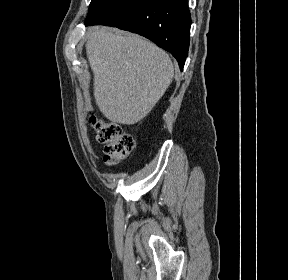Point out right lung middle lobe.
Returning a JSON list of instances; mask_svg holds the SVG:
<instances>
[{"label":"right lung middle lobe","mask_w":288,"mask_h":280,"mask_svg":"<svg viewBox=\"0 0 288 280\" xmlns=\"http://www.w3.org/2000/svg\"><path fill=\"white\" fill-rule=\"evenodd\" d=\"M116 0H92L89 6L86 21L91 20L100 10Z\"/></svg>","instance_id":"dd1d6c3e"}]
</instances>
